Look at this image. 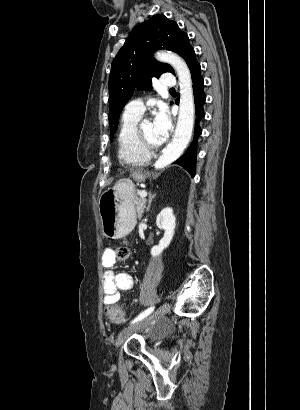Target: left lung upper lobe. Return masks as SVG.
I'll use <instances>...</instances> for the list:
<instances>
[{
  "mask_svg": "<svg viewBox=\"0 0 300 410\" xmlns=\"http://www.w3.org/2000/svg\"><path fill=\"white\" fill-rule=\"evenodd\" d=\"M158 49L178 53L188 64L194 54L188 35L175 21L154 15L137 26L119 50L111 65L109 78V125L111 137L117 130L119 115L136 87L148 88L151 78L173 68L156 61L152 54Z\"/></svg>",
  "mask_w": 300,
  "mask_h": 410,
  "instance_id": "left-lung-upper-lobe-1",
  "label": "left lung upper lobe"
}]
</instances>
